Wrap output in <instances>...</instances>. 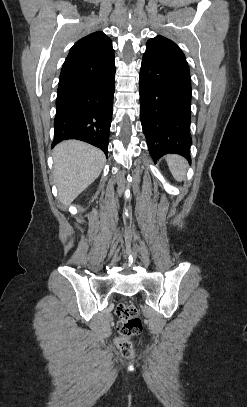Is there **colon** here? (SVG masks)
<instances>
[{"label": "colon", "mask_w": 247, "mask_h": 407, "mask_svg": "<svg viewBox=\"0 0 247 407\" xmlns=\"http://www.w3.org/2000/svg\"><path fill=\"white\" fill-rule=\"evenodd\" d=\"M116 313L119 335L115 342L121 354L126 358H130L134 354L130 339L142 332L143 324L138 316V310L133 304H120Z\"/></svg>", "instance_id": "5ec220e1"}]
</instances>
